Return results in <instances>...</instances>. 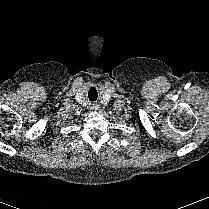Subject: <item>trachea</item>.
<instances>
[{
  "mask_svg": "<svg viewBox=\"0 0 209 209\" xmlns=\"http://www.w3.org/2000/svg\"><path fill=\"white\" fill-rule=\"evenodd\" d=\"M97 97H98V93H97L96 88H94V87L90 88V90L88 91L89 100L96 101Z\"/></svg>",
  "mask_w": 209,
  "mask_h": 209,
  "instance_id": "trachea-1",
  "label": "trachea"
}]
</instances>
